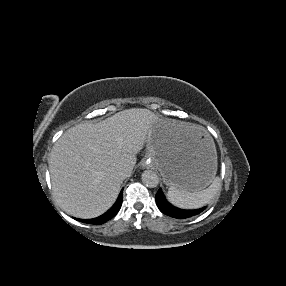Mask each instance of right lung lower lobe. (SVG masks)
<instances>
[{
	"label": "right lung lower lobe",
	"mask_w": 286,
	"mask_h": 286,
	"mask_svg": "<svg viewBox=\"0 0 286 286\" xmlns=\"http://www.w3.org/2000/svg\"><path fill=\"white\" fill-rule=\"evenodd\" d=\"M122 205V191L117 199V201L115 202V204L103 215L97 217V218H93V219H89V220H83V219H77L74 218L80 222H84V223H88V224H95V225H100L105 223L106 221L110 220L111 218H113L118 211L120 210Z\"/></svg>",
	"instance_id": "obj_1"
}]
</instances>
